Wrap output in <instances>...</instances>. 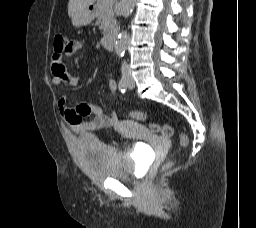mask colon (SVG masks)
I'll return each instance as SVG.
<instances>
[{
    "label": "colon",
    "instance_id": "obj_1",
    "mask_svg": "<svg viewBox=\"0 0 256 228\" xmlns=\"http://www.w3.org/2000/svg\"><path fill=\"white\" fill-rule=\"evenodd\" d=\"M67 41L62 35H56L53 39V49L55 54H61L67 47ZM131 117L135 120H142L144 115L140 111L131 112ZM150 129L161 137H171L173 135V128L168 124H151ZM180 144L181 146H186L188 144V138L185 134H180ZM172 163H168L165 169L169 168Z\"/></svg>",
    "mask_w": 256,
    "mask_h": 228
}]
</instances>
